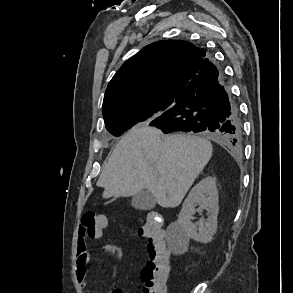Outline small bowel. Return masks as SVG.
I'll use <instances>...</instances> for the list:
<instances>
[{"label":"small bowel","instance_id":"1","mask_svg":"<svg viewBox=\"0 0 293 293\" xmlns=\"http://www.w3.org/2000/svg\"><path fill=\"white\" fill-rule=\"evenodd\" d=\"M101 250L104 253L113 255L116 259H122L124 257V250L122 247L113 244L105 243L102 245ZM93 261V256L88 250L87 237L83 233L82 228L79 229V234L76 240V273L79 284L82 287H86L87 282V268L89 264ZM85 293H94L91 290H86ZM111 293H131L130 291L124 289H114Z\"/></svg>","mask_w":293,"mask_h":293}]
</instances>
